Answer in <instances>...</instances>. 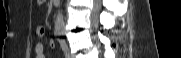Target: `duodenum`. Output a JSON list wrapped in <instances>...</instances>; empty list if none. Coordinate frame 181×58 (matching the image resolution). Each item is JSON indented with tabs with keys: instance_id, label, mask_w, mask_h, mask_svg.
<instances>
[{
	"instance_id": "410a0bca",
	"label": "duodenum",
	"mask_w": 181,
	"mask_h": 58,
	"mask_svg": "<svg viewBox=\"0 0 181 58\" xmlns=\"http://www.w3.org/2000/svg\"><path fill=\"white\" fill-rule=\"evenodd\" d=\"M54 5H59L60 0H52Z\"/></svg>"
}]
</instances>
